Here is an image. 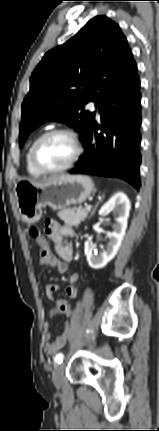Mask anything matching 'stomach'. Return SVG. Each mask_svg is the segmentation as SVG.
I'll list each match as a JSON object with an SVG mask.
<instances>
[{
    "mask_svg": "<svg viewBox=\"0 0 159 431\" xmlns=\"http://www.w3.org/2000/svg\"><path fill=\"white\" fill-rule=\"evenodd\" d=\"M94 192V184L85 175L57 176L45 182L22 180L15 185V198L22 219L33 224L46 206L61 210L81 204Z\"/></svg>",
    "mask_w": 159,
    "mask_h": 431,
    "instance_id": "obj_1",
    "label": "stomach"
}]
</instances>
